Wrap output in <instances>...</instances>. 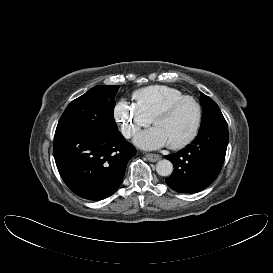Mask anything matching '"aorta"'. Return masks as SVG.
<instances>
[{
  "label": "aorta",
  "mask_w": 273,
  "mask_h": 273,
  "mask_svg": "<svg viewBox=\"0 0 273 273\" xmlns=\"http://www.w3.org/2000/svg\"><path fill=\"white\" fill-rule=\"evenodd\" d=\"M156 172L160 176H170L173 172V164L166 159L160 160L156 164Z\"/></svg>",
  "instance_id": "1"
}]
</instances>
